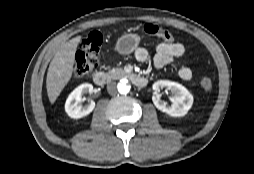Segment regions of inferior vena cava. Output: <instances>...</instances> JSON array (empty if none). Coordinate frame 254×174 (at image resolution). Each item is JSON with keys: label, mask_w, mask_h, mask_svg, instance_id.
<instances>
[{"label": "inferior vena cava", "mask_w": 254, "mask_h": 174, "mask_svg": "<svg viewBox=\"0 0 254 174\" xmlns=\"http://www.w3.org/2000/svg\"><path fill=\"white\" fill-rule=\"evenodd\" d=\"M107 91L109 94L111 95H115L117 93V85H116V82H110L108 83L107 85Z\"/></svg>", "instance_id": "1"}]
</instances>
